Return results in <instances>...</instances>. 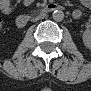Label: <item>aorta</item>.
<instances>
[{
  "mask_svg": "<svg viewBox=\"0 0 91 91\" xmlns=\"http://www.w3.org/2000/svg\"><path fill=\"white\" fill-rule=\"evenodd\" d=\"M52 17L55 21L60 22L64 19V13L61 10H55L52 14Z\"/></svg>",
  "mask_w": 91,
  "mask_h": 91,
  "instance_id": "1",
  "label": "aorta"
}]
</instances>
